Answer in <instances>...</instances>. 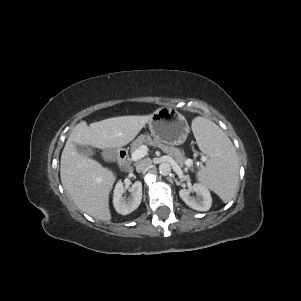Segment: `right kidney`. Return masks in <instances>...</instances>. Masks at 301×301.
I'll return each mask as SVG.
<instances>
[{
    "label": "right kidney",
    "mask_w": 301,
    "mask_h": 301,
    "mask_svg": "<svg viewBox=\"0 0 301 301\" xmlns=\"http://www.w3.org/2000/svg\"><path fill=\"white\" fill-rule=\"evenodd\" d=\"M130 192L131 197L126 199L123 196V183L119 181L116 184L113 194V205L119 214L128 215L139 207L142 200V183L139 181L135 182L130 188Z\"/></svg>",
    "instance_id": "obj_1"
}]
</instances>
